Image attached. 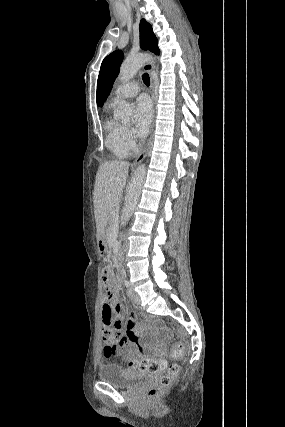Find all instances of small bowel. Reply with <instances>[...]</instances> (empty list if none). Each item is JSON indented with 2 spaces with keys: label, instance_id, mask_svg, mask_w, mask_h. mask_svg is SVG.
<instances>
[{
  "label": "small bowel",
  "instance_id": "small-bowel-1",
  "mask_svg": "<svg viewBox=\"0 0 285 427\" xmlns=\"http://www.w3.org/2000/svg\"><path fill=\"white\" fill-rule=\"evenodd\" d=\"M112 305L114 307L113 310L106 307L105 304L101 306L102 326L115 325L119 329L124 328L120 348L116 350L115 353L119 354L124 359L133 358L138 355V353L133 350V343L137 337V324L133 318L121 320L114 317L124 312L123 306L117 301V296L114 297Z\"/></svg>",
  "mask_w": 285,
  "mask_h": 427
}]
</instances>
